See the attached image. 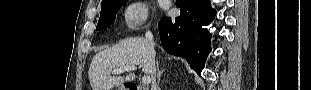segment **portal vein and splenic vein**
<instances>
[{"label":"portal vein and splenic vein","instance_id":"1","mask_svg":"<svg viewBox=\"0 0 311 90\" xmlns=\"http://www.w3.org/2000/svg\"><path fill=\"white\" fill-rule=\"evenodd\" d=\"M137 69L136 66L134 65H128V66H124V67H120V68H117V69H114L112 71V73L114 74H120L122 72H125V71H135ZM142 82L146 85L150 84L151 83V78L150 76H143L142 77Z\"/></svg>","mask_w":311,"mask_h":90}]
</instances>
